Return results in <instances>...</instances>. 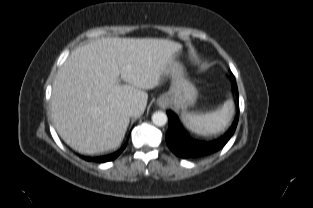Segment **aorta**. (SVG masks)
Returning a JSON list of instances; mask_svg holds the SVG:
<instances>
[{"instance_id": "1", "label": "aorta", "mask_w": 313, "mask_h": 208, "mask_svg": "<svg viewBox=\"0 0 313 208\" xmlns=\"http://www.w3.org/2000/svg\"><path fill=\"white\" fill-rule=\"evenodd\" d=\"M167 115L162 111H157L152 115V122L156 126H164L167 123Z\"/></svg>"}]
</instances>
